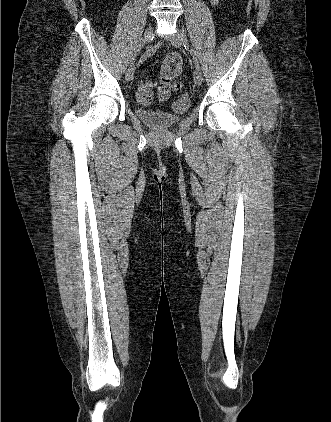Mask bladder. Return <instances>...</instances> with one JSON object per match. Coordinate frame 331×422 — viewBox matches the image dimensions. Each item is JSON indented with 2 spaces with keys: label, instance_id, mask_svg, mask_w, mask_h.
Returning a JSON list of instances; mask_svg holds the SVG:
<instances>
[{
  "label": "bladder",
  "instance_id": "1",
  "mask_svg": "<svg viewBox=\"0 0 331 422\" xmlns=\"http://www.w3.org/2000/svg\"><path fill=\"white\" fill-rule=\"evenodd\" d=\"M187 108L179 112H168L162 109H148L137 107L135 109L136 115L148 126L153 128H167L177 125L181 116L184 115Z\"/></svg>",
  "mask_w": 331,
  "mask_h": 422
}]
</instances>
